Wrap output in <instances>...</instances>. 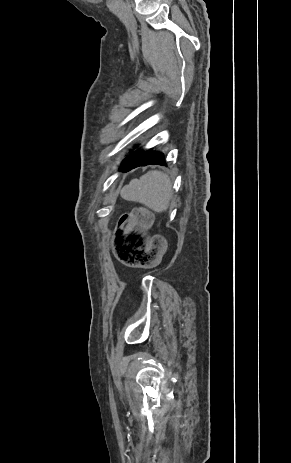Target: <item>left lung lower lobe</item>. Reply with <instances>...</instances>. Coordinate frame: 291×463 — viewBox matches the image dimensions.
I'll return each instance as SVG.
<instances>
[{
	"instance_id": "0a47b994",
	"label": "left lung lower lobe",
	"mask_w": 291,
	"mask_h": 463,
	"mask_svg": "<svg viewBox=\"0 0 291 463\" xmlns=\"http://www.w3.org/2000/svg\"><path fill=\"white\" fill-rule=\"evenodd\" d=\"M149 164L165 165L164 155L151 149H140L130 154L122 163L121 170L129 171Z\"/></svg>"
}]
</instances>
